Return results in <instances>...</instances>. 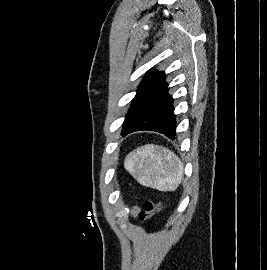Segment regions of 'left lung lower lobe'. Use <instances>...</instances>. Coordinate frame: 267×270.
Here are the masks:
<instances>
[{
    "instance_id": "left-lung-lower-lobe-1",
    "label": "left lung lower lobe",
    "mask_w": 267,
    "mask_h": 270,
    "mask_svg": "<svg viewBox=\"0 0 267 270\" xmlns=\"http://www.w3.org/2000/svg\"><path fill=\"white\" fill-rule=\"evenodd\" d=\"M141 130L155 131L175 139L176 121L173 98L168 93V86L154 103L122 136Z\"/></svg>"
}]
</instances>
